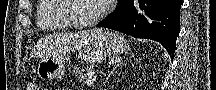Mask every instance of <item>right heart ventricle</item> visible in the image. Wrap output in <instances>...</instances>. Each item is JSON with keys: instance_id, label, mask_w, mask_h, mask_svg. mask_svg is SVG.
<instances>
[{"instance_id": "obj_1", "label": "right heart ventricle", "mask_w": 216, "mask_h": 90, "mask_svg": "<svg viewBox=\"0 0 216 90\" xmlns=\"http://www.w3.org/2000/svg\"><path fill=\"white\" fill-rule=\"evenodd\" d=\"M41 6L35 7L38 13L37 27L38 29H69L67 20H63V14H55V10L62 6V0H38ZM47 16V17H44Z\"/></svg>"}]
</instances>
